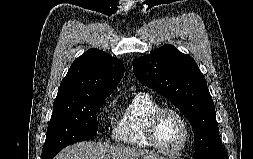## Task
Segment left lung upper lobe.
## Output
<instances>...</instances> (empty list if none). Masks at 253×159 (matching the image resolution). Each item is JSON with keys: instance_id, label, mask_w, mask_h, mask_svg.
Here are the masks:
<instances>
[{"instance_id": "obj_1", "label": "left lung upper lobe", "mask_w": 253, "mask_h": 159, "mask_svg": "<svg viewBox=\"0 0 253 159\" xmlns=\"http://www.w3.org/2000/svg\"><path fill=\"white\" fill-rule=\"evenodd\" d=\"M136 78L165 96L189 120L195 135V159H214L223 149L213 99L194 59L172 45L138 58Z\"/></svg>"}]
</instances>
